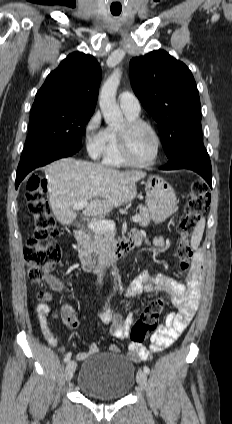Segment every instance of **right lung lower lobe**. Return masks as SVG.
<instances>
[{
    "label": "right lung lower lobe",
    "mask_w": 232,
    "mask_h": 424,
    "mask_svg": "<svg viewBox=\"0 0 232 424\" xmlns=\"http://www.w3.org/2000/svg\"><path fill=\"white\" fill-rule=\"evenodd\" d=\"M79 150L80 147L78 146L43 145L22 155L16 173V188L33 169L44 166L54 160L71 156Z\"/></svg>",
    "instance_id": "1"
}]
</instances>
